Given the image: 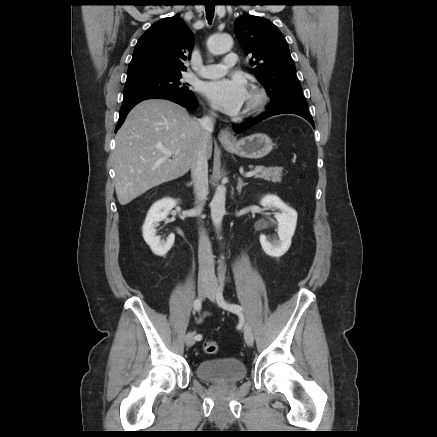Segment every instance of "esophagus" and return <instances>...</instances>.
<instances>
[{
	"label": "esophagus",
	"mask_w": 437,
	"mask_h": 437,
	"mask_svg": "<svg viewBox=\"0 0 437 437\" xmlns=\"http://www.w3.org/2000/svg\"><path fill=\"white\" fill-rule=\"evenodd\" d=\"M218 139L222 145H230L234 142V136L228 129L219 132Z\"/></svg>",
	"instance_id": "34e87169"
}]
</instances>
